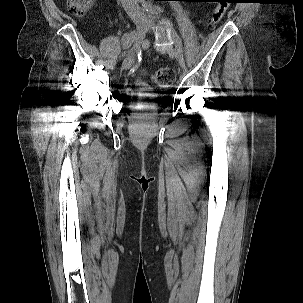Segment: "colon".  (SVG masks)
<instances>
[{"instance_id": "5ec220e1", "label": "colon", "mask_w": 303, "mask_h": 303, "mask_svg": "<svg viewBox=\"0 0 303 303\" xmlns=\"http://www.w3.org/2000/svg\"><path fill=\"white\" fill-rule=\"evenodd\" d=\"M226 2V0H220L215 7L210 18L211 25L218 24L223 18L228 8ZM67 3L71 12L80 15L86 13L94 5L95 0H68ZM174 81V72L167 67L160 68L151 75V82L157 87L167 88L171 86Z\"/></svg>"}]
</instances>
